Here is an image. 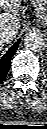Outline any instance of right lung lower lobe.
Here are the masks:
<instances>
[{"label": "right lung lower lobe", "mask_w": 47, "mask_h": 129, "mask_svg": "<svg viewBox=\"0 0 47 129\" xmlns=\"http://www.w3.org/2000/svg\"><path fill=\"white\" fill-rule=\"evenodd\" d=\"M21 40H18L8 51L7 53L0 59V83L5 79L8 71H9V67H10V63H11V59L14 55V53L16 52V49L19 46Z\"/></svg>", "instance_id": "right-lung-lower-lobe-1"}]
</instances>
